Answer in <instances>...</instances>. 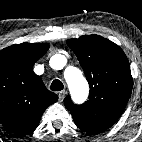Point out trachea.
Listing matches in <instances>:
<instances>
[{
  "label": "trachea",
  "instance_id": "1",
  "mask_svg": "<svg viewBox=\"0 0 142 142\" xmlns=\"http://www.w3.org/2000/svg\"><path fill=\"white\" fill-rule=\"evenodd\" d=\"M63 88H64L63 83L58 79H55L50 86V89L53 91H61Z\"/></svg>",
  "mask_w": 142,
  "mask_h": 142
}]
</instances>
